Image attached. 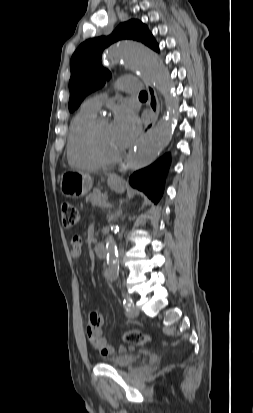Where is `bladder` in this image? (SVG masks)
<instances>
[{
  "label": "bladder",
  "mask_w": 253,
  "mask_h": 413,
  "mask_svg": "<svg viewBox=\"0 0 253 413\" xmlns=\"http://www.w3.org/2000/svg\"><path fill=\"white\" fill-rule=\"evenodd\" d=\"M138 360V355L131 351H121L118 354L110 357L108 362L119 368H127L132 366Z\"/></svg>",
  "instance_id": "1"
}]
</instances>
